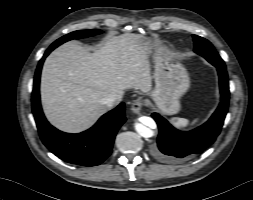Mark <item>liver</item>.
I'll use <instances>...</instances> for the list:
<instances>
[{
	"label": "liver",
	"instance_id": "1",
	"mask_svg": "<svg viewBox=\"0 0 253 200\" xmlns=\"http://www.w3.org/2000/svg\"><path fill=\"white\" fill-rule=\"evenodd\" d=\"M152 50L137 34L106 39L94 53L67 42L45 60L41 75V101L55 127L77 133L91 127L107 112L103 100L124 90L148 93L152 89L149 55Z\"/></svg>",
	"mask_w": 253,
	"mask_h": 200
}]
</instances>
